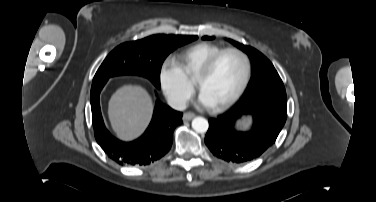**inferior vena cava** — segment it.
<instances>
[{
	"label": "inferior vena cava",
	"instance_id": "inferior-vena-cava-1",
	"mask_svg": "<svg viewBox=\"0 0 376 202\" xmlns=\"http://www.w3.org/2000/svg\"><path fill=\"white\" fill-rule=\"evenodd\" d=\"M167 102L171 108L178 110V111H183L187 108L186 99L180 96H176V97L170 96L168 97Z\"/></svg>",
	"mask_w": 376,
	"mask_h": 202
}]
</instances>
